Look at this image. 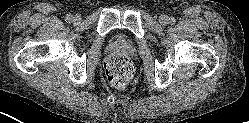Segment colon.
<instances>
[{"mask_svg": "<svg viewBox=\"0 0 249 123\" xmlns=\"http://www.w3.org/2000/svg\"><path fill=\"white\" fill-rule=\"evenodd\" d=\"M104 70L109 85L120 90L128 87L134 76L131 60L121 53L108 56L104 63Z\"/></svg>", "mask_w": 249, "mask_h": 123, "instance_id": "colon-1", "label": "colon"}]
</instances>
